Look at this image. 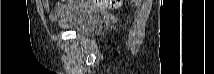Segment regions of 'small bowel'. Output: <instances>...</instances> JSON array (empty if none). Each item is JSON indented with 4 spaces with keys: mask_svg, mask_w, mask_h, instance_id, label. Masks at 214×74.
Segmentation results:
<instances>
[{
    "mask_svg": "<svg viewBox=\"0 0 214 74\" xmlns=\"http://www.w3.org/2000/svg\"><path fill=\"white\" fill-rule=\"evenodd\" d=\"M42 3L51 18L62 17L68 10L72 9V6H64L59 4L54 10H51L48 1H42Z\"/></svg>",
    "mask_w": 214,
    "mask_h": 74,
    "instance_id": "small-bowel-1",
    "label": "small bowel"
}]
</instances>
